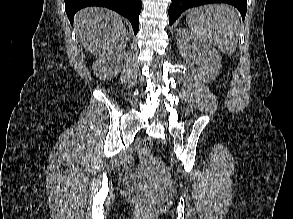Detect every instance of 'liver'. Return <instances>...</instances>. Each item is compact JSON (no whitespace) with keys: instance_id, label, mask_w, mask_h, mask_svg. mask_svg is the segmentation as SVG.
Returning <instances> with one entry per match:
<instances>
[{"instance_id":"obj_1","label":"liver","mask_w":293,"mask_h":219,"mask_svg":"<svg viewBox=\"0 0 293 219\" xmlns=\"http://www.w3.org/2000/svg\"><path fill=\"white\" fill-rule=\"evenodd\" d=\"M74 21L84 49L98 57L121 52L127 45L123 20L111 10L85 8L76 13Z\"/></svg>"}]
</instances>
